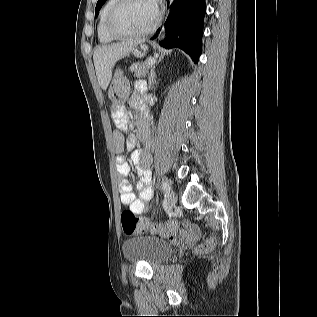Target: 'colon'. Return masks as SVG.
Listing matches in <instances>:
<instances>
[{
    "mask_svg": "<svg viewBox=\"0 0 317 317\" xmlns=\"http://www.w3.org/2000/svg\"><path fill=\"white\" fill-rule=\"evenodd\" d=\"M129 95V83L127 78L121 73L116 72L108 89V97L111 101L113 112L123 109ZM121 225L126 235L151 230L162 236L170 237L178 229V223L171 221L168 223L150 224L143 218H139L131 210H124L121 213ZM216 244L214 237L209 238L204 243L198 245V253L210 252Z\"/></svg>",
    "mask_w": 317,
    "mask_h": 317,
    "instance_id": "colon-1",
    "label": "colon"
}]
</instances>
